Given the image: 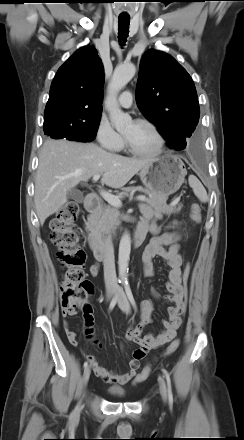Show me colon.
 <instances>
[{
    "label": "colon",
    "instance_id": "obj_1",
    "mask_svg": "<svg viewBox=\"0 0 244 440\" xmlns=\"http://www.w3.org/2000/svg\"><path fill=\"white\" fill-rule=\"evenodd\" d=\"M79 214V206L75 202H68L62 206L50 221V240L58 247L57 258L63 266L62 281L60 284V304L63 316H73L77 309L90 308L89 295L93 292V285L85 279L84 266L86 255L80 247V236L75 228V220ZM191 218L199 223L201 220V209L197 203L191 207ZM191 272V264L187 261L182 271V281L184 285V302L182 313L186 310L188 300V284ZM179 340H173L164 355L175 352L179 347ZM149 351L145 345L139 346L134 355L144 358ZM152 371V365H146L135 377L134 384L145 381Z\"/></svg>",
    "mask_w": 244,
    "mask_h": 440
}]
</instances>
